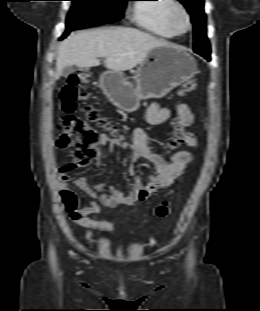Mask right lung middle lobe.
Segmentation results:
<instances>
[{
	"label": "right lung middle lobe",
	"mask_w": 260,
	"mask_h": 311,
	"mask_svg": "<svg viewBox=\"0 0 260 311\" xmlns=\"http://www.w3.org/2000/svg\"><path fill=\"white\" fill-rule=\"evenodd\" d=\"M72 7L66 20L67 35L72 30L120 20L130 0H70Z\"/></svg>",
	"instance_id": "1"
}]
</instances>
